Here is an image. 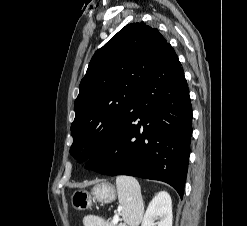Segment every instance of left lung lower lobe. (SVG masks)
I'll use <instances>...</instances> for the list:
<instances>
[{"instance_id": "obj_1", "label": "left lung lower lobe", "mask_w": 247, "mask_h": 226, "mask_svg": "<svg viewBox=\"0 0 247 226\" xmlns=\"http://www.w3.org/2000/svg\"><path fill=\"white\" fill-rule=\"evenodd\" d=\"M192 108L181 63L166 44L114 139L86 164L110 176L170 184L183 196L190 155Z\"/></svg>"}]
</instances>
